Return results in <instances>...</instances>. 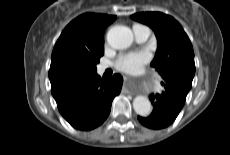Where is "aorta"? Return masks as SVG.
Wrapping results in <instances>:
<instances>
[{"label": "aorta", "instance_id": "1", "mask_svg": "<svg viewBox=\"0 0 230 155\" xmlns=\"http://www.w3.org/2000/svg\"><path fill=\"white\" fill-rule=\"evenodd\" d=\"M106 38L112 48L125 49L132 44L133 33L126 26L116 25L108 30ZM133 108L140 116H148L152 110L151 103L145 96H136L133 100Z\"/></svg>", "mask_w": 230, "mask_h": 155}]
</instances>
